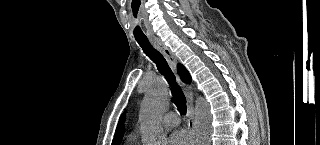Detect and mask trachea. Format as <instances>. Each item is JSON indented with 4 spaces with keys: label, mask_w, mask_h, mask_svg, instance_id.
Returning <instances> with one entry per match:
<instances>
[{
    "label": "trachea",
    "mask_w": 320,
    "mask_h": 145,
    "mask_svg": "<svg viewBox=\"0 0 320 145\" xmlns=\"http://www.w3.org/2000/svg\"><path fill=\"white\" fill-rule=\"evenodd\" d=\"M136 41L143 49L144 53L156 64L158 71L165 76L171 85L173 101L182 115L186 114V98L176 81V77L169 67L164 56L150 44L146 37H135Z\"/></svg>",
    "instance_id": "obj_1"
}]
</instances>
